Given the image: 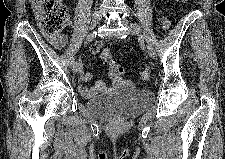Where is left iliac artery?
I'll list each match as a JSON object with an SVG mask.
<instances>
[{
    "mask_svg": "<svg viewBox=\"0 0 225 159\" xmlns=\"http://www.w3.org/2000/svg\"><path fill=\"white\" fill-rule=\"evenodd\" d=\"M135 25H136V27H138L139 29H141L140 26H139L138 24H135ZM142 31L144 32L145 30L143 29ZM144 34H145V33H144ZM141 40L144 41L145 43H148V42H149L148 39L146 40V36H142V37H141Z\"/></svg>",
    "mask_w": 225,
    "mask_h": 159,
    "instance_id": "44dca946",
    "label": "left iliac artery"
}]
</instances>
